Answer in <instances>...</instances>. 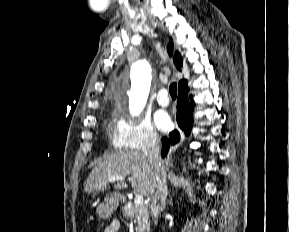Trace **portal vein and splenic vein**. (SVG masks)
I'll list each match as a JSON object with an SVG mask.
<instances>
[{
    "label": "portal vein and splenic vein",
    "mask_w": 289,
    "mask_h": 232,
    "mask_svg": "<svg viewBox=\"0 0 289 232\" xmlns=\"http://www.w3.org/2000/svg\"><path fill=\"white\" fill-rule=\"evenodd\" d=\"M125 179V176H121V175H116V176H111L108 178L109 182H115V181H123ZM134 203L136 205H142L143 204V196L142 195H136L135 199H134Z\"/></svg>",
    "instance_id": "portal-vein-and-splenic-vein-1"
}]
</instances>
